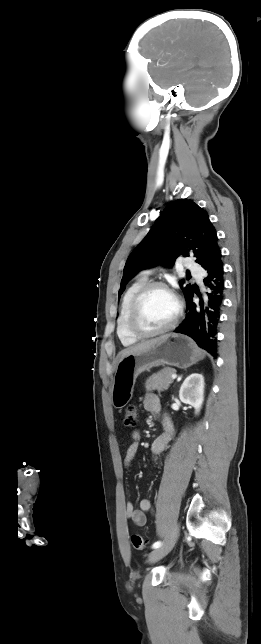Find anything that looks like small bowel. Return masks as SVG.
I'll return each instance as SVG.
<instances>
[{"instance_id": "obj_1", "label": "small bowel", "mask_w": 261, "mask_h": 644, "mask_svg": "<svg viewBox=\"0 0 261 644\" xmlns=\"http://www.w3.org/2000/svg\"><path fill=\"white\" fill-rule=\"evenodd\" d=\"M143 406L146 411L158 415L161 411L160 399L156 394H147L143 400ZM164 431L158 435L151 444V454L153 460L165 450L167 445L173 438L174 427L168 416L163 420ZM140 434L138 431L133 432L132 441L129 444L124 460V464L128 467L135 458L139 449ZM151 509V502L149 499H141L139 502V509H136L132 502L125 504V516L131 520L136 526H143L146 523V513Z\"/></svg>"}]
</instances>
